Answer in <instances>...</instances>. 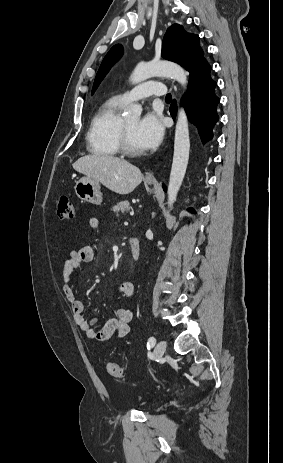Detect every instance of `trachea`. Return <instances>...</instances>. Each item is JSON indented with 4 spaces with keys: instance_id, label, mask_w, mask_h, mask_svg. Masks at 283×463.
<instances>
[{
    "instance_id": "3493384b",
    "label": "trachea",
    "mask_w": 283,
    "mask_h": 463,
    "mask_svg": "<svg viewBox=\"0 0 283 463\" xmlns=\"http://www.w3.org/2000/svg\"><path fill=\"white\" fill-rule=\"evenodd\" d=\"M171 99H172V96H171L170 93H168V94L166 95V101H171Z\"/></svg>"
}]
</instances>
